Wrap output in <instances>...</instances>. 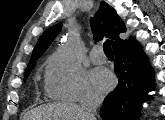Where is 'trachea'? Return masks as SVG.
Returning a JSON list of instances; mask_svg holds the SVG:
<instances>
[{"mask_svg":"<svg viewBox=\"0 0 165 120\" xmlns=\"http://www.w3.org/2000/svg\"><path fill=\"white\" fill-rule=\"evenodd\" d=\"M103 50L105 54H113L111 44L109 40H106L103 44Z\"/></svg>","mask_w":165,"mask_h":120,"instance_id":"1","label":"trachea"}]
</instances>
